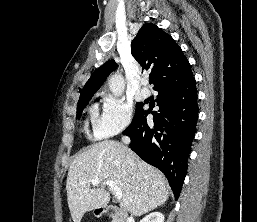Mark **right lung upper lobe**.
I'll use <instances>...</instances> for the list:
<instances>
[{
  "label": "right lung upper lobe",
  "instance_id": "obj_1",
  "mask_svg": "<svg viewBox=\"0 0 257 222\" xmlns=\"http://www.w3.org/2000/svg\"><path fill=\"white\" fill-rule=\"evenodd\" d=\"M131 53L144 69L151 70L155 77L154 89L192 74L190 64L174 39L152 23L141 27L131 43ZM116 67L114 60H109L98 68L81 90L78 104L92 97Z\"/></svg>",
  "mask_w": 257,
  "mask_h": 222
}]
</instances>
